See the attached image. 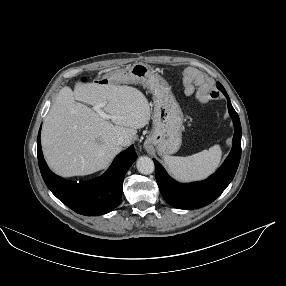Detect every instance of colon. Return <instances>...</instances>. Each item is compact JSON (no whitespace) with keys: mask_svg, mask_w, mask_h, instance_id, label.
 Instances as JSON below:
<instances>
[{"mask_svg":"<svg viewBox=\"0 0 286 286\" xmlns=\"http://www.w3.org/2000/svg\"><path fill=\"white\" fill-rule=\"evenodd\" d=\"M88 79H85V81H87ZM185 90L187 91V90H189V87L186 85L185 86Z\"/></svg>","mask_w":286,"mask_h":286,"instance_id":"1","label":"colon"}]
</instances>
